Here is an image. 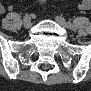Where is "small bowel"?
Segmentation results:
<instances>
[{
	"instance_id": "1",
	"label": "small bowel",
	"mask_w": 91,
	"mask_h": 91,
	"mask_svg": "<svg viewBox=\"0 0 91 91\" xmlns=\"http://www.w3.org/2000/svg\"><path fill=\"white\" fill-rule=\"evenodd\" d=\"M78 8L81 10H88L91 8V2L89 0H83L79 3Z\"/></svg>"
}]
</instances>
